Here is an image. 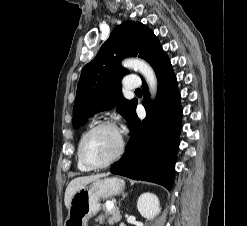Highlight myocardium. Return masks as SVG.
<instances>
[{
    "mask_svg": "<svg viewBox=\"0 0 247 226\" xmlns=\"http://www.w3.org/2000/svg\"><path fill=\"white\" fill-rule=\"evenodd\" d=\"M102 128H110L116 131V133L119 136V147L116 153L108 161L101 163V164H91L90 162L87 161L84 155V150H83L84 142L91 133H93L96 130L102 129ZM124 151H125V140H124L123 134L120 128L117 126V124L111 120H105V121L98 122L97 124L89 128L81 137L79 145H78L79 158L81 162L89 169H102V168H106L112 165L113 163H115L122 157Z\"/></svg>",
    "mask_w": 247,
    "mask_h": 226,
    "instance_id": "f54148a6",
    "label": "myocardium"
}]
</instances>
